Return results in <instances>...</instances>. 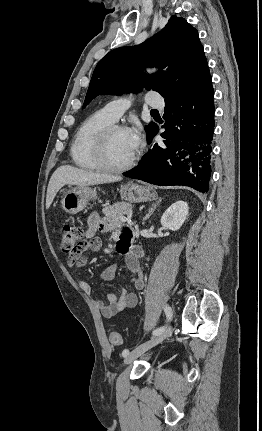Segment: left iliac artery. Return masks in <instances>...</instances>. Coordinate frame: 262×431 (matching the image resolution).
Here are the masks:
<instances>
[{
	"instance_id": "1",
	"label": "left iliac artery",
	"mask_w": 262,
	"mask_h": 431,
	"mask_svg": "<svg viewBox=\"0 0 262 431\" xmlns=\"http://www.w3.org/2000/svg\"><path fill=\"white\" fill-rule=\"evenodd\" d=\"M164 311H165V314H166L167 319H168V320H170V319H171V317H172V310H171V308H170L169 306H166V307L164 308ZM163 330H164V327L158 328V329H156V330H154V331H153V335H158V334H160ZM128 354H129V350H128V349H125V350L122 352V356H123V357H126Z\"/></svg>"
}]
</instances>
